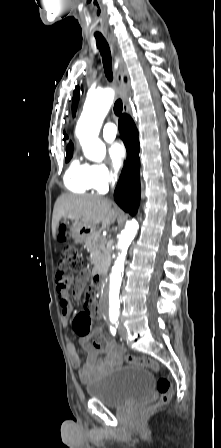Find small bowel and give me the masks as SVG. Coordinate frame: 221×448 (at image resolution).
Wrapping results in <instances>:
<instances>
[{
  "instance_id": "obj_1",
  "label": "small bowel",
  "mask_w": 221,
  "mask_h": 448,
  "mask_svg": "<svg viewBox=\"0 0 221 448\" xmlns=\"http://www.w3.org/2000/svg\"><path fill=\"white\" fill-rule=\"evenodd\" d=\"M86 280L87 276L85 272L73 280L71 290L76 298L81 296ZM58 294L59 304L62 310V323L64 326H67L72 315L69 295L64 289H58ZM98 316L99 310L97 305L92 307L86 299L84 311L77 314L72 323L74 331L80 337L79 343L86 351L87 358L85 361L80 356L76 345L70 341L67 343V350L72 364L78 369V376L84 383H88L99 374L111 368L120 366L124 360V349L109 341L99 327L94 328L91 332L90 328L87 329L90 326L91 319ZM91 333L93 335L92 341H90ZM100 353L104 354L103 358H99Z\"/></svg>"
}]
</instances>
